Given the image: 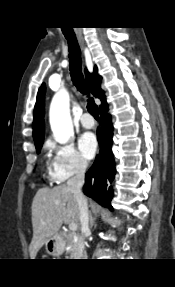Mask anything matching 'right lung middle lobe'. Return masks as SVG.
Wrapping results in <instances>:
<instances>
[{"mask_svg":"<svg viewBox=\"0 0 175 287\" xmlns=\"http://www.w3.org/2000/svg\"><path fill=\"white\" fill-rule=\"evenodd\" d=\"M42 144H43V141L35 144V147H36V150H37L38 153L41 150Z\"/></svg>","mask_w":175,"mask_h":287,"instance_id":"right-lung-middle-lobe-1","label":"right lung middle lobe"}]
</instances>
